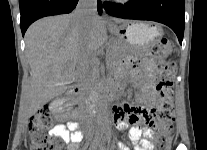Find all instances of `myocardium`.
<instances>
[{
    "label": "myocardium",
    "instance_id": "myocardium-1",
    "mask_svg": "<svg viewBox=\"0 0 207 150\" xmlns=\"http://www.w3.org/2000/svg\"><path fill=\"white\" fill-rule=\"evenodd\" d=\"M116 2H119V3H126V2H130L132 0H114Z\"/></svg>",
    "mask_w": 207,
    "mask_h": 150
}]
</instances>
